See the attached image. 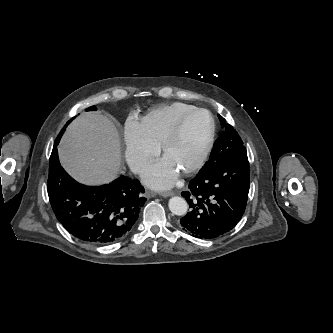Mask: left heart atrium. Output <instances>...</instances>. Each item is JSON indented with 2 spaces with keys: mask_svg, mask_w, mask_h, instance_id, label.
<instances>
[{
  "mask_svg": "<svg viewBox=\"0 0 333 333\" xmlns=\"http://www.w3.org/2000/svg\"><path fill=\"white\" fill-rule=\"evenodd\" d=\"M177 176L178 171L165 158L147 168L143 173L145 183L154 189L171 187Z\"/></svg>",
  "mask_w": 333,
  "mask_h": 333,
  "instance_id": "1",
  "label": "left heart atrium"
}]
</instances>
